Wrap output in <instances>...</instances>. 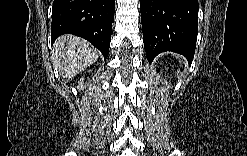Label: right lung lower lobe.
I'll use <instances>...</instances> for the list:
<instances>
[{
	"instance_id": "right-lung-lower-lobe-1",
	"label": "right lung lower lobe",
	"mask_w": 247,
	"mask_h": 156,
	"mask_svg": "<svg viewBox=\"0 0 247 156\" xmlns=\"http://www.w3.org/2000/svg\"><path fill=\"white\" fill-rule=\"evenodd\" d=\"M115 0H54L51 39L74 34L108 56Z\"/></svg>"
}]
</instances>
